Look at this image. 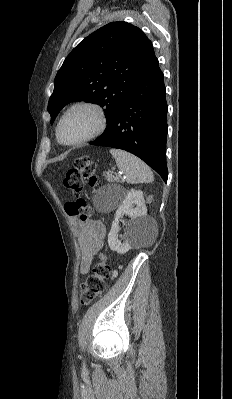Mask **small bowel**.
<instances>
[{
  "label": "small bowel",
  "mask_w": 232,
  "mask_h": 399,
  "mask_svg": "<svg viewBox=\"0 0 232 399\" xmlns=\"http://www.w3.org/2000/svg\"><path fill=\"white\" fill-rule=\"evenodd\" d=\"M76 237L81 245L80 272L86 275L95 260L96 253L102 244L103 226L99 221H89L76 228Z\"/></svg>",
  "instance_id": "obj_1"
}]
</instances>
